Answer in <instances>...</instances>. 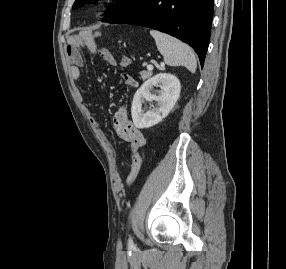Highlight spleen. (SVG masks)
<instances>
[{"label":"spleen","instance_id":"spleen-1","mask_svg":"<svg viewBox=\"0 0 286 269\" xmlns=\"http://www.w3.org/2000/svg\"><path fill=\"white\" fill-rule=\"evenodd\" d=\"M157 49L164 56V61L169 66H185L191 73H195L197 61L192 49L178 39L165 33L151 30Z\"/></svg>","mask_w":286,"mask_h":269}]
</instances>
